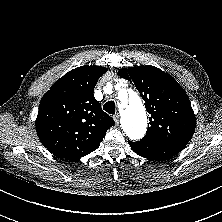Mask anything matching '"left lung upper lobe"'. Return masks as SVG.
<instances>
[{
	"mask_svg": "<svg viewBox=\"0 0 222 222\" xmlns=\"http://www.w3.org/2000/svg\"><path fill=\"white\" fill-rule=\"evenodd\" d=\"M118 75L132 82L150 114L142 141L186 145L193 136L196 118L189 98L173 77L154 66L122 68Z\"/></svg>",
	"mask_w": 222,
	"mask_h": 222,
	"instance_id": "left-lung-upper-lobe-1",
	"label": "left lung upper lobe"
}]
</instances>
